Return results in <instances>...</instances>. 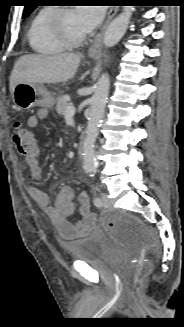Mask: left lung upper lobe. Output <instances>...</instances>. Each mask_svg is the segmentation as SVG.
<instances>
[{"label": "left lung upper lobe", "instance_id": "left-lung-upper-lobe-1", "mask_svg": "<svg viewBox=\"0 0 184 327\" xmlns=\"http://www.w3.org/2000/svg\"><path fill=\"white\" fill-rule=\"evenodd\" d=\"M34 3L35 0H27V5L25 6L23 12V18H26L36 8V5Z\"/></svg>", "mask_w": 184, "mask_h": 327}]
</instances>
